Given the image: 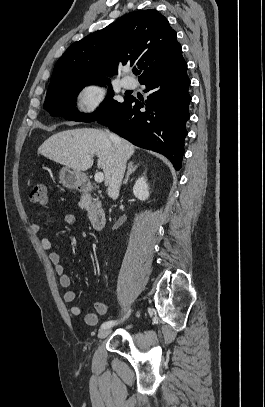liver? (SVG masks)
<instances>
[{"mask_svg": "<svg viewBox=\"0 0 265 407\" xmlns=\"http://www.w3.org/2000/svg\"><path fill=\"white\" fill-rule=\"evenodd\" d=\"M109 135L107 131L95 128L62 131L49 137L39 147L38 153L80 172L91 168L93 157L97 155V167L103 170L105 184L108 185L114 163ZM119 146L126 160L134 154L135 146L127 140L119 138Z\"/></svg>", "mask_w": 265, "mask_h": 407, "instance_id": "liver-1", "label": "liver"}]
</instances>
